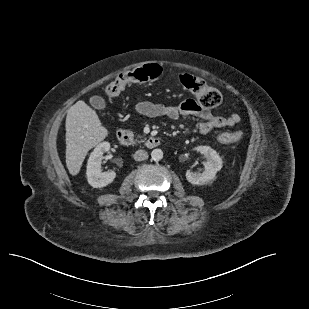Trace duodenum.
Instances as JSON below:
<instances>
[{
	"label": "duodenum",
	"mask_w": 309,
	"mask_h": 309,
	"mask_svg": "<svg viewBox=\"0 0 309 309\" xmlns=\"http://www.w3.org/2000/svg\"><path fill=\"white\" fill-rule=\"evenodd\" d=\"M116 135H117V139L122 145L128 146L133 143V140H134L133 134L128 129H119L117 130ZM160 144H161L160 139L157 137H153V136L148 137L145 141V145L148 148H155V147H158Z\"/></svg>",
	"instance_id": "obj_1"
}]
</instances>
